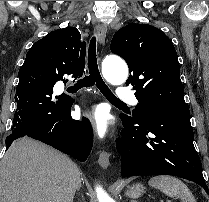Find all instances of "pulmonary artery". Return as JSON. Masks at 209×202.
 Returning <instances> with one entry per match:
<instances>
[{"label": "pulmonary artery", "instance_id": "e3ab8cb5", "mask_svg": "<svg viewBox=\"0 0 209 202\" xmlns=\"http://www.w3.org/2000/svg\"><path fill=\"white\" fill-rule=\"evenodd\" d=\"M116 98L123 103H127L131 106H137L139 104V99L129 89H123L118 87Z\"/></svg>", "mask_w": 209, "mask_h": 202}]
</instances>
